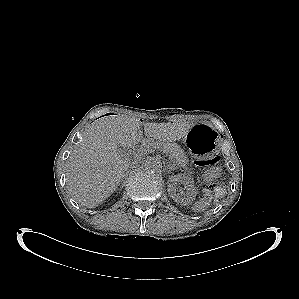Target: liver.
I'll use <instances>...</instances> for the list:
<instances>
[{
    "mask_svg": "<svg viewBox=\"0 0 299 299\" xmlns=\"http://www.w3.org/2000/svg\"><path fill=\"white\" fill-rule=\"evenodd\" d=\"M142 125L145 136L163 143L183 138L190 129L186 123H143L123 115L96 120L67 163V189L78 203L94 208L116 190L130 163L119 154L118 146L137 145Z\"/></svg>",
    "mask_w": 299,
    "mask_h": 299,
    "instance_id": "obj_1",
    "label": "liver"
}]
</instances>
